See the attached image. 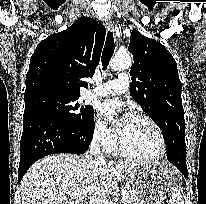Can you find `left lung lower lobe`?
Returning <instances> with one entry per match:
<instances>
[{
  "label": "left lung lower lobe",
  "instance_id": "left-lung-lower-lobe-1",
  "mask_svg": "<svg viewBox=\"0 0 206 204\" xmlns=\"http://www.w3.org/2000/svg\"><path fill=\"white\" fill-rule=\"evenodd\" d=\"M167 158L188 178L186 166V146L185 140L174 139L166 142Z\"/></svg>",
  "mask_w": 206,
  "mask_h": 204
}]
</instances>
